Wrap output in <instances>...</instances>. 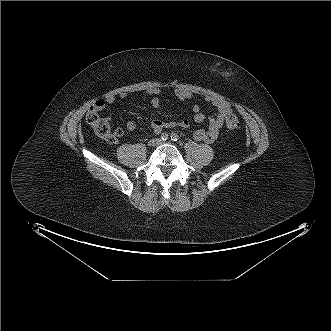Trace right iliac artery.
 Returning <instances> with one entry per match:
<instances>
[{
	"instance_id": "1",
	"label": "right iliac artery",
	"mask_w": 331,
	"mask_h": 331,
	"mask_svg": "<svg viewBox=\"0 0 331 331\" xmlns=\"http://www.w3.org/2000/svg\"><path fill=\"white\" fill-rule=\"evenodd\" d=\"M168 137H169V135L167 133H165V132L161 134V139L163 141H166L168 139Z\"/></svg>"
}]
</instances>
